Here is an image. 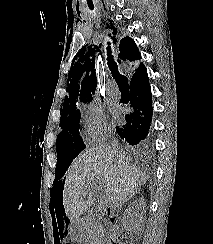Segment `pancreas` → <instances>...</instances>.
Instances as JSON below:
<instances>
[{"label":"pancreas","mask_w":213,"mask_h":244,"mask_svg":"<svg viewBox=\"0 0 213 244\" xmlns=\"http://www.w3.org/2000/svg\"><path fill=\"white\" fill-rule=\"evenodd\" d=\"M87 239L98 241L102 238L103 227L95 221H91L86 228ZM94 244V243H91Z\"/></svg>","instance_id":"1"}]
</instances>
